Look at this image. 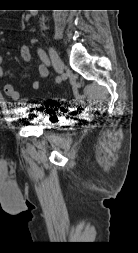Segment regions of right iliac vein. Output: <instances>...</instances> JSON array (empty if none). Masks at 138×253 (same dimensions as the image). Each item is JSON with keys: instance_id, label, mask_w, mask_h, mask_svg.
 <instances>
[{"instance_id": "63e3f726", "label": "right iliac vein", "mask_w": 138, "mask_h": 253, "mask_svg": "<svg viewBox=\"0 0 138 253\" xmlns=\"http://www.w3.org/2000/svg\"><path fill=\"white\" fill-rule=\"evenodd\" d=\"M49 54H50L51 62H52V65H53L55 71L58 74H61L63 72V68H64L63 61L61 60L57 51L53 47H49Z\"/></svg>"}]
</instances>
